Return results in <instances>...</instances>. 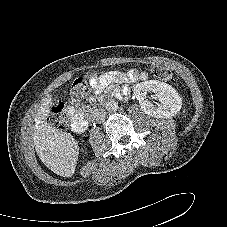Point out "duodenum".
<instances>
[{"instance_id":"410a0bca","label":"duodenum","mask_w":227,"mask_h":227,"mask_svg":"<svg viewBox=\"0 0 227 227\" xmlns=\"http://www.w3.org/2000/svg\"><path fill=\"white\" fill-rule=\"evenodd\" d=\"M72 127L76 132H84L89 127V122L86 117L81 114H76L74 111L71 112Z\"/></svg>"}]
</instances>
